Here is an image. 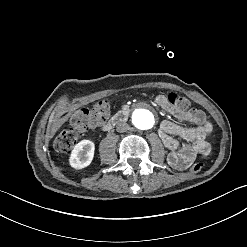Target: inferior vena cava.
<instances>
[{"label": "inferior vena cava", "mask_w": 247, "mask_h": 247, "mask_svg": "<svg viewBox=\"0 0 247 247\" xmlns=\"http://www.w3.org/2000/svg\"><path fill=\"white\" fill-rule=\"evenodd\" d=\"M129 125L127 123H124V122H120L116 125V130L117 132H126L129 130Z\"/></svg>", "instance_id": "obj_1"}]
</instances>
